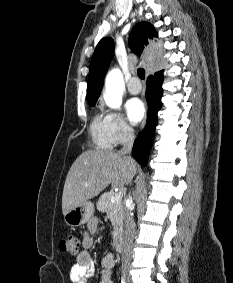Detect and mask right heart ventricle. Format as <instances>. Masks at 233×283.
Masks as SVG:
<instances>
[{
    "mask_svg": "<svg viewBox=\"0 0 233 283\" xmlns=\"http://www.w3.org/2000/svg\"><path fill=\"white\" fill-rule=\"evenodd\" d=\"M89 134L92 143L99 149L110 150L114 145L106 115L97 113L93 117L89 127Z\"/></svg>",
    "mask_w": 233,
    "mask_h": 283,
    "instance_id": "1",
    "label": "right heart ventricle"
}]
</instances>
